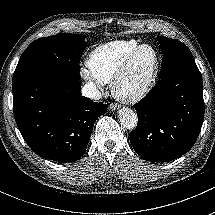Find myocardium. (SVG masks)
<instances>
[{
  "mask_svg": "<svg viewBox=\"0 0 215 215\" xmlns=\"http://www.w3.org/2000/svg\"><path fill=\"white\" fill-rule=\"evenodd\" d=\"M143 48H150L153 51V63L145 72L142 82L135 89H133L132 91H124L122 89V83L129 74L137 54ZM159 65V54L154 46L147 43L137 45L134 49L130 51V53L127 55L122 65L112 78L111 88L114 97L124 103H136L142 100L147 95L153 84V81L159 70Z\"/></svg>",
  "mask_w": 215,
  "mask_h": 215,
  "instance_id": "f54148a6",
  "label": "myocardium"
}]
</instances>
